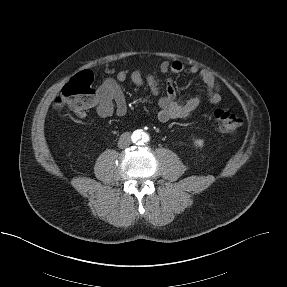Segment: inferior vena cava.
<instances>
[{
  "label": "inferior vena cava",
  "mask_w": 287,
  "mask_h": 287,
  "mask_svg": "<svg viewBox=\"0 0 287 287\" xmlns=\"http://www.w3.org/2000/svg\"><path fill=\"white\" fill-rule=\"evenodd\" d=\"M132 141H131V137L130 134L128 132L123 133L119 140H118V147L123 149V148H127L131 145Z\"/></svg>",
  "instance_id": "602c4592"
}]
</instances>
